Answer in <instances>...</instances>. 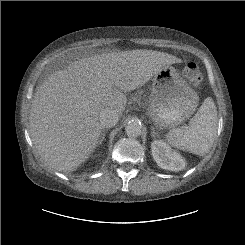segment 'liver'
Here are the masks:
<instances>
[{"label": "liver", "mask_w": 245, "mask_h": 245, "mask_svg": "<svg viewBox=\"0 0 245 245\" xmlns=\"http://www.w3.org/2000/svg\"><path fill=\"white\" fill-rule=\"evenodd\" d=\"M182 60L160 51L109 52L73 61L51 74L34 94L30 135L43 161L73 171L99 143L105 108L123 113L126 92L143 86L167 65Z\"/></svg>", "instance_id": "liver-1"}]
</instances>
